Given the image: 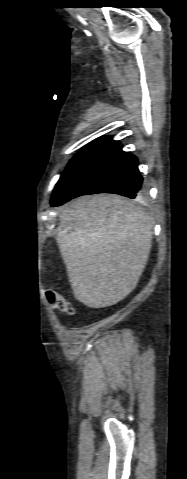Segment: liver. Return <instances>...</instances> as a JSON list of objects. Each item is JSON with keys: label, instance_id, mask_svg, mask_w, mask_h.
Returning a JSON list of instances; mask_svg holds the SVG:
<instances>
[{"label": "liver", "instance_id": "obj_1", "mask_svg": "<svg viewBox=\"0 0 187 479\" xmlns=\"http://www.w3.org/2000/svg\"><path fill=\"white\" fill-rule=\"evenodd\" d=\"M150 217L114 195L82 197L59 213L57 242L75 298L112 306L136 287L152 243Z\"/></svg>", "mask_w": 187, "mask_h": 479}]
</instances>
